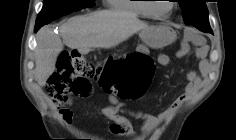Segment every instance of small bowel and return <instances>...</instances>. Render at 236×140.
Here are the masks:
<instances>
[{
    "mask_svg": "<svg viewBox=\"0 0 236 140\" xmlns=\"http://www.w3.org/2000/svg\"><path fill=\"white\" fill-rule=\"evenodd\" d=\"M194 36L195 35L191 31L187 32L188 40H192ZM181 53H183V51H181ZM196 56L201 62V67H203V69L201 68L202 76L195 71H189L187 74V82L183 86L181 93L159 114L154 115L143 111H131L129 112V116H125L122 115L124 110L118 105H108L103 108V116L112 122L109 128L110 132L114 136H124L128 140H138L131 119L135 118L142 122V137L150 140L158 128L161 125L168 123L186 100L202 87L203 76L205 73V54L202 49H198L196 51ZM155 62L161 66H166L169 64L170 58L165 54H160L155 58ZM59 115L64 122L68 124L71 123L73 113L70 110L68 103L59 110Z\"/></svg>",
    "mask_w": 236,
    "mask_h": 140,
    "instance_id": "1",
    "label": "small bowel"
}]
</instances>
